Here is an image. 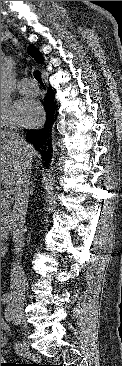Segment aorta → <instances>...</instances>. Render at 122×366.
<instances>
[{
  "instance_id": "762f6f07",
  "label": "aorta",
  "mask_w": 122,
  "mask_h": 366,
  "mask_svg": "<svg viewBox=\"0 0 122 366\" xmlns=\"http://www.w3.org/2000/svg\"><path fill=\"white\" fill-rule=\"evenodd\" d=\"M13 63L8 57L1 58V100L7 99L12 90Z\"/></svg>"
}]
</instances>
